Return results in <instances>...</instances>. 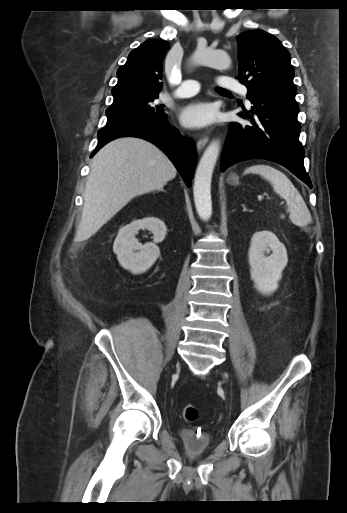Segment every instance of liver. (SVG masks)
Wrapping results in <instances>:
<instances>
[{"instance_id":"1","label":"liver","mask_w":347,"mask_h":513,"mask_svg":"<svg viewBox=\"0 0 347 513\" xmlns=\"http://www.w3.org/2000/svg\"><path fill=\"white\" fill-rule=\"evenodd\" d=\"M175 176L174 165L152 143L136 137L109 142L93 158L75 238L89 239L131 199L162 190Z\"/></svg>"}]
</instances>
